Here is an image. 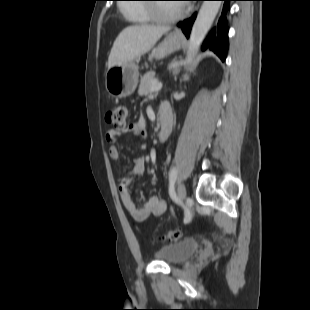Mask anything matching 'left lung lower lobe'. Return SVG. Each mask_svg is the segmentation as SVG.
I'll use <instances>...</instances> for the list:
<instances>
[{
	"label": "left lung lower lobe",
	"mask_w": 310,
	"mask_h": 310,
	"mask_svg": "<svg viewBox=\"0 0 310 310\" xmlns=\"http://www.w3.org/2000/svg\"><path fill=\"white\" fill-rule=\"evenodd\" d=\"M221 1H224L221 17L218 21L217 27H215L211 31V33L208 35L205 42L203 43L202 50L209 48L210 50H213L220 57L222 61H224L228 49V27H227L226 13L229 9V1L233 0H221ZM195 18L196 13L189 19H186L178 24V26L181 27L183 33L186 35L187 38H189L190 31L195 21Z\"/></svg>",
	"instance_id": "1"
}]
</instances>
